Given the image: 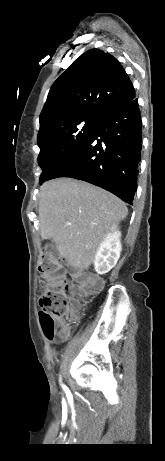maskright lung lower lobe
I'll return each mask as SVG.
<instances>
[{"mask_svg":"<svg viewBox=\"0 0 165 461\" xmlns=\"http://www.w3.org/2000/svg\"><path fill=\"white\" fill-rule=\"evenodd\" d=\"M142 120L137 98L109 112L87 141L48 180L71 177L106 189L132 204L141 161Z\"/></svg>","mask_w":165,"mask_h":461,"instance_id":"98d812e1","label":"right lung lower lobe"}]
</instances>
